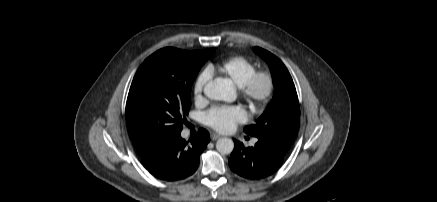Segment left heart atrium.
Returning <instances> with one entry per match:
<instances>
[{"instance_id":"39dd6f15","label":"left heart atrium","mask_w":437,"mask_h":202,"mask_svg":"<svg viewBox=\"0 0 437 202\" xmlns=\"http://www.w3.org/2000/svg\"><path fill=\"white\" fill-rule=\"evenodd\" d=\"M247 115L239 106L215 107L205 114V123L222 133L232 131L237 124L245 122Z\"/></svg>"}]
</instances>
